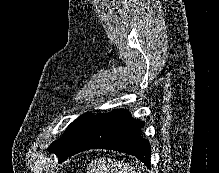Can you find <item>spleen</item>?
<instances>
[{
	"label": "spleen",
	"mask_w": 219,
	"mask_h": 173,
	"mask_svg": "<svg viewBox=\"0 0 219 173\" xmlns=\"http://www.w3.org/2000/svg\"><path fill=\"white\" fill-rule=\"evenodd\" d=\"M89 171L91 173H141L139 170H136L128 164L112 162L109 160L108 162H98L94 167H90Z\"/></svg>",
	"instance_id": "spleen-1"
}]
</instances>
